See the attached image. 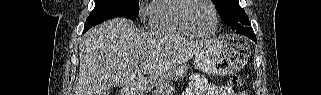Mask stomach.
Here are the masks:
<instances>
[{
  "mask_svg": "<svg viewBox=\"0 0 321 95\" xmlns=\"http://www.w3.org/2000/svg\"><path fill=\"white\" fill-rule=\"evenodd\" d=\"M250 56V46L236 36L207 42L194 55V65L202 72L226 76L239 71ZM187 73V65L181 64L158 78L157 82L178 79Z\"/></svg>",
  "mask_w": 321,
  "mask_h": 95,
  "instance_id": "obj_1",
  "label": "stomach"
}]
</instances>
